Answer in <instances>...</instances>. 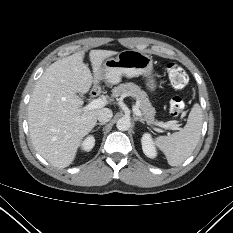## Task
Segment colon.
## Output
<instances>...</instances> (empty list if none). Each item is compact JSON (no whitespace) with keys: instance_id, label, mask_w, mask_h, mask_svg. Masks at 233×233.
<instances>
[{"instance_id":"obj_1","label":"colon","mask_w":233,"mask_h":233,"mask_svg":"<svg viewBox=\"0 0 233 233\" xmlns=\"http://www.w3.org/2000/svg\"><path fill=\"white\" fill-rule=\"evenodd\" d=\"M166 73L174 88L182 89L189 81L186 71L178 64L170 62L166 64ZM185 110V102L181 97H173L170 101V114L179 116Z\"/></svg>"}]
</instances>
